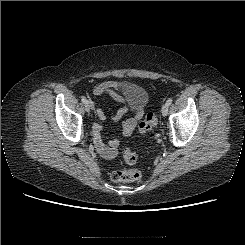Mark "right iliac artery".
<instances>
[{
    "instance_id": "82829eb1",
    "label": "right iliac artery",
    "mask_w": 245,
    "mask_h": 245,
    "mask_svg": "<svg viewBox=\"0 0 245 245\" xmlns=\"http://www.w3.org/2000/svg\"><path fill=\"white\" fill-rule=\"evenodd\" d=\"M81 101H82L84 104H86V103L88 102V100H87L84 96L81 97Z\"/></svg>"
}]
</instances>
